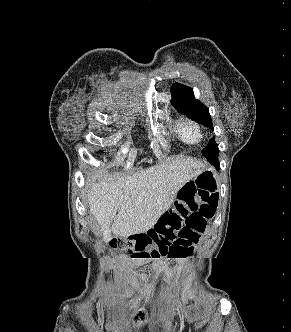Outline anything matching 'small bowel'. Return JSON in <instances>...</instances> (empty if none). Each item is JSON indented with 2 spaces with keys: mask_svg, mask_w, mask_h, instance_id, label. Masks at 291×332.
<instances>
[{
  "mask_svg": "<svg viewBox=\"0 0 291 332\" xmlns=\"http://www.w3.org/2000/svg\"><path fill=\"white\" fill-rule=\"evenodd\" d=\"M192 188H196L195 184L192 183V182H188L185 185H183V187L181 188L180 192L181 191H186V190H189V189H192ZM153 265L161 273L169 274V275L172 273L171 269L166 265L165 261H162V260L161 261H156ZM151 294H152L151 288L147 286L146 289H145V295H146V297L150 298Z\"/></svg>",
  "mask_w": 291,
  "mask_h": 332,
  "instance_id": "c3829d8e",
  "label": "small bowel"
}]
</instances>
